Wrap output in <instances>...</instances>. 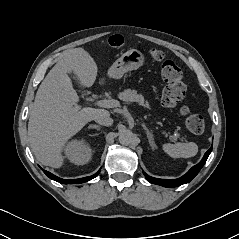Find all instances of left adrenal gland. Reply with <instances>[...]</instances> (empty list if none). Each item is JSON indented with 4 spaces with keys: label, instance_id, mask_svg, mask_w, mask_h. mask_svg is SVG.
I'll return each instance as SVG.
<instances>
[{
    "label": "left adrenal gland",
    "instance_id": "a2214340",
    "mask_svg": "<svg viewBox=\"0 0 239 239\" xmlns=\"http://www.w3.org/2000/svg\"><path fill=\"white\" fill-rule=\"evenodd\" d=\"M142 127L146 131L147 138H148V141H149V144H150L151 148L154 150L155 149V145H154V143L152 141V137H153L152 132L146 127V125L144 123H142Z\"/></svg>",
    "mask_w": 239,
    "mask_h": 239
}]
</instances>
